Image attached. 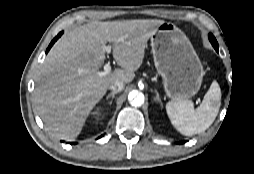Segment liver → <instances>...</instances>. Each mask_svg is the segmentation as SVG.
Listing matches in <instances>:
<instances>
[{
	"label": "liver",
	"instance_id": "1",
	"mask_svg": "<svg viewBox=\"0 0 254 174\" xmlns=\"http://www.w3.org/2000/svg\"><path fill=\"white\" fill-rule=\"evenodd\" d=\"M163 22L94 21L65 34L49 51L36 77L34 105L47 130L60 139L74 140L109 85L132 82L148 40ZM106 43L113 45V57L122 69L100 76Z\"/></svg>",
	"mask_w": 254,
	"mask_h": 174
}]
</instances>
